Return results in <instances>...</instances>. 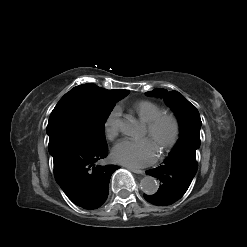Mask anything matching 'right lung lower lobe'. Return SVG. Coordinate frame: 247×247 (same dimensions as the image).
<instances>
[{"label":"right lung lower lobe","instance_id":"obj_1","mask_svg":"<svg viewBox=\"0 0 247 247\" xmlns=\"http://www.w3.org/2000/svg\"><path fill=\"white\" fill-rule=\"evenodd\" d=\"M54 176L67 197L84 209L99 208L108 197L109 181L119 167L99 166L108 147H92L65 135L49 136Z\"/></svg>","mask_w":247,"mask_h":247}]
</instances>
